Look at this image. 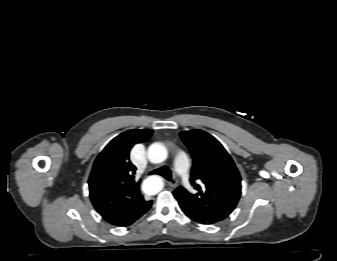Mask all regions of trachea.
Instances as JSON below:
<instances>
[{"instance_id": "1", "label": "trachea", "mask_w": 337, "mask_h": 261, "mask_svg": "<svg viewBox=\"0 0 337 261\" xmlns=\"http://www.w3.org/2000/svg\"><path fill=\"white\" fill-rule=\"evenodd\" d=\"M150 174H158V175H162L163 177H165L167 180H171L172 179V175L171 172L168 168L166 167H162L156 170H153L150 172Z\"/></svg>"}]
</instances>
